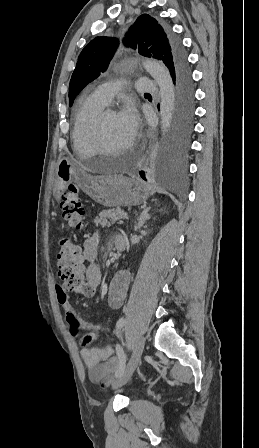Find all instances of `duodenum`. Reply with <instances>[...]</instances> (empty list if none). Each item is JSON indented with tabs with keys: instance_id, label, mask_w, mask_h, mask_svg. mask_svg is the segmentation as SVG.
<instances>
[{
	"instance_id": "1",
	"label": "duodenum",
	"mask_w": 259,
	"mask_h": 448,
	"mask_svg": "<svg viewBox=\"0 0 259 448\" xmlns=\"http://www.w3.org/2000/svg\"><path fill=\"white\" fill-rule=\"evenodd\" d=\"M117 249H118L120 252L124 251V249H125V244H124V243H119V244L117 245Z\"/></svg>"
}]
</instances>
